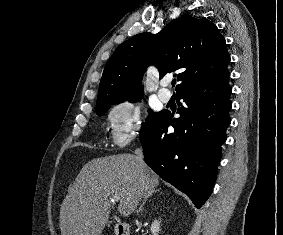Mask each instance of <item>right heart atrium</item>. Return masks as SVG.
Listing matches in <instances>:
<instances>
[{
    "instance_id": "1",
    "label": "right heart atrium",
    "mask_w": 283,
    "mask_h": 235,
    "mask_svg": "<svg viewBox=\"0 0 283 235\" xmlns=\"http://www.w3.org/2000/svg\"><path fill=\"white\" fill-rule=\"evenodd\" d=\"M142 121V109L133 100L115 104L108 113V131L112 143L117 147L127 145L137 136Z\"/></svg>"
}]
</instances>
